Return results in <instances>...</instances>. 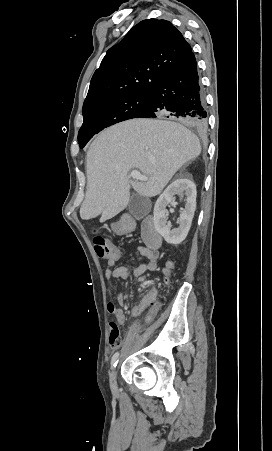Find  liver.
Wrapping results in <instances>:
<instances>
[{
  "label": "liver",
  "mask_w": 272,
  "mask_h": 451,
  "mask_svg": "<svg viewBox=\"0 0 272 451\" xmlns=\"http://www.w3.org/2000/svg\"><path fill=\"white\" fill-rule=\"evenodd\" d=\"M199 154L197 136L177 122L136 118L106 128L87 152L82 220L101 214L105 222L117 216L130 202V188L145 198L158 196L177 170ZM132 168L148 180H129Z\"/></svg>",
  "instance_id": "obj_1"
}]
</instances>
